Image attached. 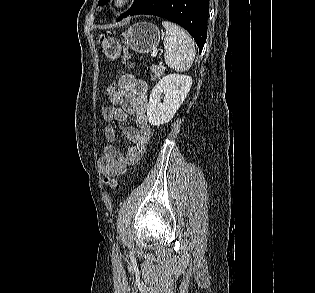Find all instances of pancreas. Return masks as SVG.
<instances>
[{
    "label": "pancreas",
    "mask_w": 315,
    "mask_h": 293,
    "mask_svg": "<svg viewBox=\"0 0 315 293\" xmlns=\"http://www.w3.org/2000/svg\"><path fill=\"white\" fill-rule=\"evenodd\" d=\"M150 69H151V79L153 81L156 80L157 78H160L161 75L165 71V67L155 66V65H152Z\"/></svg>",
    "instance_id": "obj_1"
}]
</instances>
